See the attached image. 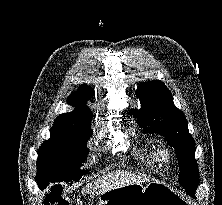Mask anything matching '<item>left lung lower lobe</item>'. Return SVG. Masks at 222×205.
I'll return each mask as SVG.
<instances>
[{
  "mask_svg": "<svg viewBox=\"0 0 222 205\" xmlns=\"http://www.w3.org/2000/svg\"><path fill=\"white\" fill-rule=\"evenodd\" d=\"M187 193H188L190 196L195 197V191L188 190Z\"/></svg>",
  "mask_w": 222,
  "mask_h": 205,
  "instance_id": "1",
  "label": "left lung lower lobe"
}]
</instances>
